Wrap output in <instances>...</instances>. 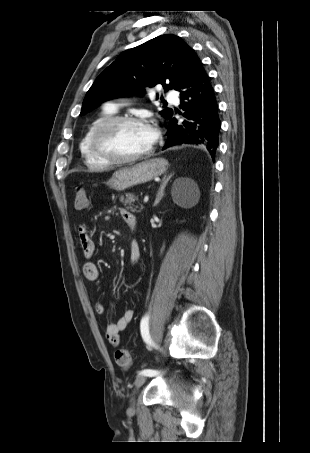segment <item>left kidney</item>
I'll list each match as a JSON object with an SVG mask.
<instances>
[{
  "mask_svg": "<svg viewBox=\"0 0 310 453\" xmlns=\"http://www.w3.org/2000/svg\"><path fill=\"white\" fill-rule=\"evenodd\" d=\"M194 191H195V188L190 187V189L188 190V193H191V192H194Z\"/></svg>",
  "mask_w": 310,
  "mask_h": 453,
  "instance_id": "1",
  "label": "left kidney"
}]
</instances>
